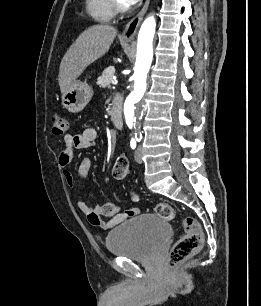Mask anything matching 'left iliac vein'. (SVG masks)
<instances>
[{
    "label": "left iliac vein",
    "mask_w": 261,
    "mask_h": 306,
    "mask_svg": "<svg viewBox=\"0 0 261 306\" xmlns=\"http://www.w3.org/2000/svg\"><path fill=\"white\" fill-rule=\"evenodd\" d=\"M134 158L137 163H142V147L140 145L137 146L134 152Z\"/></svg>",
    "instance_id": "obj_1"
}]
</instances>
